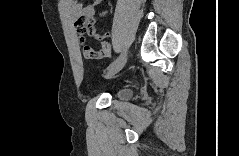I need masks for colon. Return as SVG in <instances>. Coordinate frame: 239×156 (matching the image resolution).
Returning a JSON list of instances; mask_svg holds the SVG:
<instances>
[{
	"instance_id": "5ec220e1",
	"label": "colon",
	"mask_w": 239,
	"mask_h": 156,
	"mask_svg": "<svg viewBox=\"0 0 239 156\" xmlns=\"http://www.w3.org/2000/svg\"><path fill=\"white\" fill-rule=\"evenodd\" d=\"M78 31L82 34H85L86 30H85V27L83 24H81L79 27H78Z\"/></svg>"
}]
</instances>
